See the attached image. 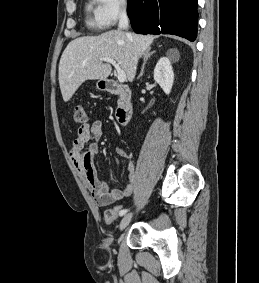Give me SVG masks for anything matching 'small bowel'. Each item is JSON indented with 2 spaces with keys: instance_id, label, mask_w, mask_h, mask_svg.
<instances>
[{
  "instance_id": "c3829d8e",
  "label": "small bowel",
  "mask_w": 259,
  "mask_h": 283,
  "mask_svg": "<svg viewBox=\"0 0 259 283\" xmlns=\"http://www.w3.org/2000/svg\"><path fill=\"white\" fill-rule=\"evenodd\" d=\"M102 123L93 121L79 127L73 140L69 157L80 176L86 182L92 198L99 206H107L119 200L129 197L136 187V169L133 161L127 164L128 183L121 189L108 191V182L99 180L94 168V157L99 153L98 141L102 137ZM121 157L128 158L126 151L119 147L114 156L119 164Z\"/></svg>"
}]
</instances>
